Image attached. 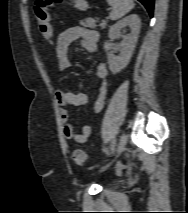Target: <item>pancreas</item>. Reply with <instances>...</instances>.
I'll list each match as a JSON object with an SVG mask.
<instances>
[{"instance_id": "cf45deb5", "label": "pancreas", "mask_w": 188, "mask_h": 213, "mask_svg": "<svg viewBox=\"0 0 188 213\" xmlns=\"http://www.w3.org/2000/svg\"><path fill=\"white\" fill-rule=\"evenodd\" d=\"M80 25L88 28H96V20L92 18H86L80 21Z\"/></svg>"}]
</instances>
